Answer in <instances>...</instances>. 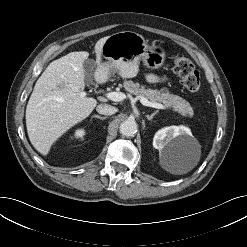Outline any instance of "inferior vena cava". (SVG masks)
Instances as JSON below:
<instances>
[{"instance_id": "inferior-vena-cava-1", "label": "inferior vena cava", "mask_w": 247, "mask_h": 247, "mask_svg": "<svg viewBox=\"0 0 247 247\" xmlns=\"http://www.w3.org/2000/svg\"><path fill=\"white\" fill-rule=\"evenodd\" d=\"M99 114L112 115L117 112V108L109 104H100L96 108Z\"/></svg>"}]
</instances>
